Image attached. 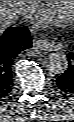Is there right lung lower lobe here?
Instances as JSON below:
<instances>
[{
    "label": "right lung lower lobe",
    "instance_id": "98d812e1",
    "mask_svg": "<svg viewBox=\"0 0 74 122\" xmlns=\"http://www.w3.org/2000/svg\"><path fill=\"white\" fill-rule=\"evenodd\" d=\"M32 47L27 27H9L0 33V98L12 89V64L24 50Z\"/></svg>",
    "mask_w": 74,
    "mask_h": 122
}]
</instances>
